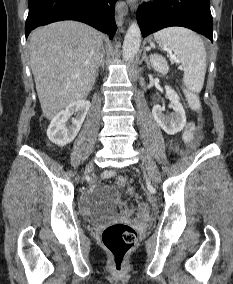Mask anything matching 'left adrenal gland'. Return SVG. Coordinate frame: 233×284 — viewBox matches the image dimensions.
<instances>
[{
    "label": "left adrenal gland",
    "mask_w": 233,
    "mask_h": 284,
    "mask_svg": "<svg viewBox=\"0 0 233 284\" xmlns=\"http://www.w3.org/2000/svg\"><path fill=\"white\" fill-rule=\"evenodd\" d=\"M141 61H145V62H146V64H147V67H148V68H150V63H149V60H148V57H147V55H146V52H145V51H144V53H143V56H142Z\"/></svg>",
    "instance_id": "1"
}]
</instances>
